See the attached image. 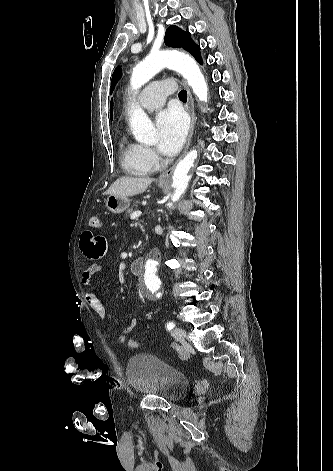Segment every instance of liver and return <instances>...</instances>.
Wrapping results in <instances>:
<instances>
[{"instance_id": "liver-1", "label": "liver", "mask_w": 333, "mask_h": 471, "mask_svg": "<svg viewBox=\"0 0 333 471\" xmlns=\"http://www.w3.org/2000/svg\"><path fill=\"white\" fill-rule=\"evenodd\" d=\"M154 181L149 177H120L105 192L108 195L116 196H134L143 193L147 187Z\"/></svg>"}]
</instances>
